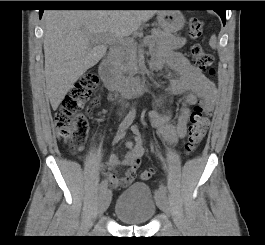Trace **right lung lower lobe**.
Segmentation results:
<instances>
[{
	"instance_id": "obj_1",
	"label": "right lung lower lobe",
	"mask_w": 265,
	"mask_h": 245,
	"mask_svg": "<svg viewBox=\"0 0 265 245\" xmlns=\"http://www.w3.org/2000/svg\"><path fill=\"white\" fill-rule=\"evenodd\" d=\"M61 6H82V7H116L120 6L118 1H82V3H63ZM59 5V6H60ZM44 10H39V16L42 17Z\"/></svg>"
}]
</instances>
